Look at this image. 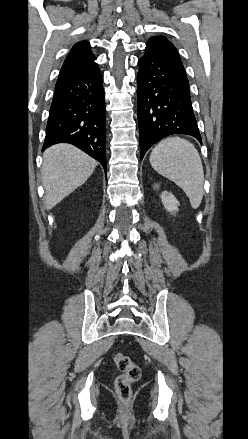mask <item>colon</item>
I'll return each instance as SVG.
<instances>
[{
	"mask_svg": "<svg viewBox=\"0 0 248 439\" xmlns=\"http://www.w3.org/2000/svg\"><path fill=\"white\" fill-rule=\"evenodd\" d=\"M113 362L121 372L115 381L117 397L122 402H128L132 396V384L141 377V368L122 353H116Z\"/></svg>",
	"mask_w": 248,
	"mask_h": 439,
	"instance_id": "obj_1",
	"label": "colon"
}]
</instances>
